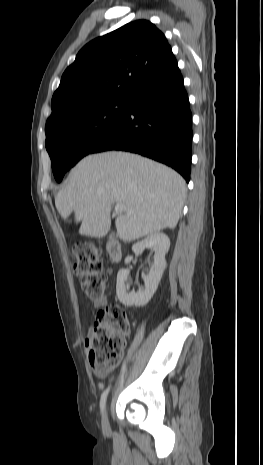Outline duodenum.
<instances>
[{"mask_svg":"<svg viewBox=\"0 0 263 465\" xmlns=\"http://www.w3.org/2000/svg\"><path fill=\"white\" fill-rule=\"evenodd\" d=\"M106 249L110 259L113 262H118L122 257V248L119 242L110 241L106 245Z\"/></svg>","mask_w":263,"mask_h":465,"instance_id":"obj_1","label":"duodenum"}]
</instances>
